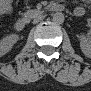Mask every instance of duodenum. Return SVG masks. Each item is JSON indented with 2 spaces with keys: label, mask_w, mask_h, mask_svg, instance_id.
<instances>
[{
  "label": "duodenum",
  "mask_w": 91,
  "mask_h": 91,
  "mask_svg": "<svg viewBox=\"0 0 91 91\" xmlns=\"http://www.w3.org/2000/svg\"><path fill=\"white\" fill-rule=\"evenodd\" d=\"M51 10L54 12H61L63 10V5L60 3H55L52 5ZM27 26V20L25 18H18L14 22V29L17 31H22Z\"/></svg>",
  "instance_id": "410a0bca"
}]
</instances>
